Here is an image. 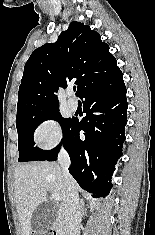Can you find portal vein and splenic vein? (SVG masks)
<instances>
[{
  "instance_id": "portal-vein-and-splenic-vein-1",
  "label": "portal vein and splenic vein",
  "mask_w": 155,
  "mask_h": 235,
  "mask_svg": "<svg viewBox=\"0 0 155 235\" xmlns=\"http://www.w3.org/2000/svg\"><path fill=\"white\" fill-rule=\"evenodd\" d=\"M52 199L56 200V201H59L60 200V197L58 194H52Z\"/></svg>"
}]
</instances>
